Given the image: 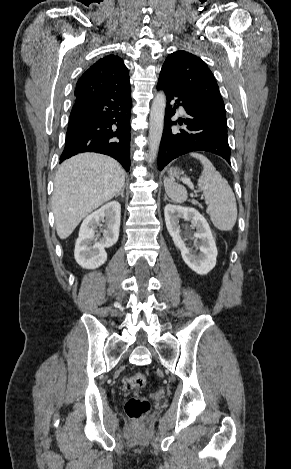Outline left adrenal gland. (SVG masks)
<instances>
[{
	"instance_id": "1",
	"label": "left adrenal gland",
	"mask_w": 291,
	"mask_h": 469,
	"mask_svg": "<svg viewBox=\"0 0 291 469\" xmlns=\"http://www.w3.org/2000/svg\"><path fill=\"white\" fill-rule=\"evenodd\" d=\"M168 200L167 195L165 194L164 196V201Z\"/></svg>"
}]
</instances>
